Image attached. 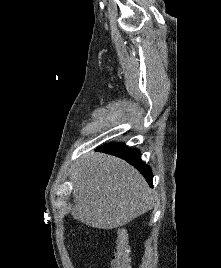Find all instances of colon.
<instances>
[{
    "label": "colon",
    "mask_w": 221,
    "mask_h": 268,
    "mask_svg": "<svg viewBox=\"0 0 221 268\" xmlns=\"http://www.w3.org/2000/svg\"><path fill=\"white\" fill-rule=\"evenodd\" d=\"M110 268H129L128 236L123 228L117 230V242Z\"/></svg>",
    "instance_id": "colon-1"
}]
</instances>
